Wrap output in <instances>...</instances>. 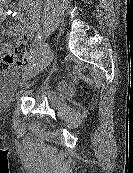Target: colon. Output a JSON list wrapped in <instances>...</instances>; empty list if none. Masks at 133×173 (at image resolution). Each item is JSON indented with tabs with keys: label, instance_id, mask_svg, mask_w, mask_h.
<instances>
[{
	"label": "colon",
	"instance_id": "1",
	"mask_svg": "<svg viewBox=\"0 0 133 173\" xmlns=\"http://www.w3.org/2000/svg\"><path fill=\"white\" fill-rule=\"evenodd\" d=\"M30 62V57L25 49L22 39H16L9 50L2 54L0 68H9L13 65L25 66Z\"/></svg>",
	"mask_w": 133,
	"mask_h": 173
}]
</instances>
